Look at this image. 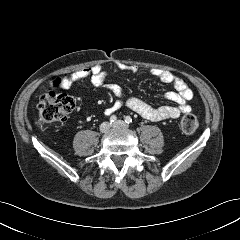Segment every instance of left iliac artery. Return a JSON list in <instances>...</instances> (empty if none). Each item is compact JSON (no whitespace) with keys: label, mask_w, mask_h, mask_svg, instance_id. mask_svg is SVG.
<instances>
[{"label":"left iliac artery","mask_w":240,"mask_h":240,"mask_svg":"<svg viewBox=\"0 0 240 240\" xmlns=\"http://www.w3.org/2000/svg\"><path fill=\"white\" fill-rule=\"evenodd\" d=\"M125 122H126L127 124L132 123V118H131L130 116H126V117H125Z\"/></svg>","instance_id":"1"}]
</instances>
